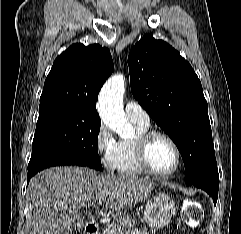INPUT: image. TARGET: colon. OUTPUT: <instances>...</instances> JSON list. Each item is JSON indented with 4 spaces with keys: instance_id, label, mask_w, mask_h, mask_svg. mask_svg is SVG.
<instances>
[{
    "instance_id": "obj_1",
    "label": "colon",
    "mask_w": 241,
    "mask_h": 234,
    "mask_svg": "<svg viewBox=\"0 0 241 234\" xmlns=\"http://www.w3.org/2000/svg\"><path fill=\"white\" fill-rule=\"evenodd\" d=\"M203 212L200 205L193 200L188 201L183 208V221L190 227H195L202 219Z\"/></svg>"
}]
</instances>
